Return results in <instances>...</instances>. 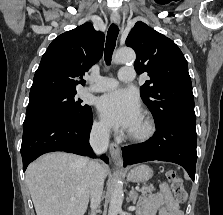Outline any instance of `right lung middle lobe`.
<instances>
[{"mask_svg": "<svg viewBox=\"0 0 223 215\" xmlns=\"http://www.w3.org/2000/svg\"><path fill=\"white\" fill-rule=\"evenodd\" d=\"M74 90L30 92L24 125L45 120H68L85 123L92 116L91 107L76 99Z\"/></svg>", "mask_w": 223, "mask_h": 215, "instance_id": "1", "label": "right lung middle lobe"}]
</instances>
